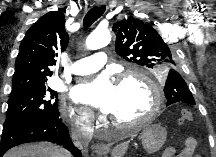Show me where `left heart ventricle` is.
I'll use <instances>...</instances> for the list:
<instances>
[{"mask_svg": "<svg viewBox=\"0 0 216 157\" xmlns=\"http://www.w3.org/2000/svg\"><path fill=\"white\" fill-rule=\"evenodd\" d=\"M151 106L148 87L136 79L116 86V104L111 115L123 122H132L147 114Z\"/></svg>", "mask_w": 216, "mask_h": 157, "instance_id": "b2bd125f", "label": "left heart ventricle"}]
</instances>
